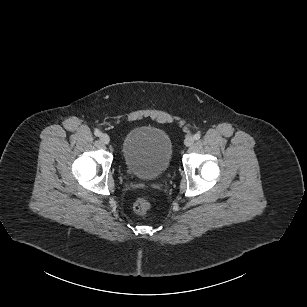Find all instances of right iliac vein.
<instances>
[{
  "label": "right iliac vein",
  "mask_w": 307,
  "mask_h": 307,
  "mask_svg": "<svg viewBox=\"0 0 307 307\" xmlns=\"http://www.w3.org/2000/svg\"><path fill=\"white\" fill-rule=\"evenodd\" d=\"M100 141H101L103 144H109L110 138H109V136H108L107 134L102 133V134L100 135Z\"/></svg>",
  "instance_id": "1"
}]
</instances>
